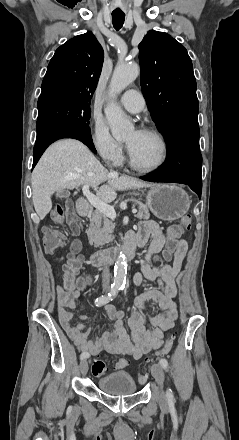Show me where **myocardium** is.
Returning a JSON list of instances; mask_svg holds the SVG:
<instances>
[{
    "label": "myocardium",
    "mask_w": 239,
    "mask_h": 440,
    "mask_svg": "<svg viewBox=\"0 0 239 440\" xmlns=\"http://www.w3.org/2000/svg\"><path fill=\"white\" fill-rule=\"evenodd\" d=\"M141 132H145V133H148L150 135H153V136H155L159 140V142L161 144V148H162L161 158H160L159 162L156 165H154L153 167L146 168V167L140 166L136 162L133 154L129 150L128 151L129 165H130V167L133 170H135V171H137L139 173H143V174L155 173V172L159 171L165 165V163L168 160V157H169V144H168V141H167L166 137L159 130H157L155 128L146 127V128H143L141 130Z\"/></svg>",
    "instance_id": "1"
}]
</instances>
